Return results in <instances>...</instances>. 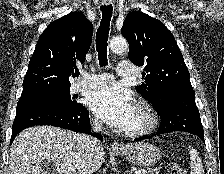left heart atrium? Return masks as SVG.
I'll list each match as a JSON object with an SVG mask.
<instances>
[{
    "instance_id": "1",
    "label": "left heart atrium",
    "mask_w": 224,
    "mask_h": 174,
    "mask_svg": "<svg viewBox=\"0 0 224 174\" xmlns=\"http://www.w3.org/2000/svg\"><path fill=\"white\" fill-rule=\"evenodd\" d=\"M87 104L100 119L121 130L126 129L136 111L132 97L117 87L92 92Z\"/></svg>"
}]
</instances>
